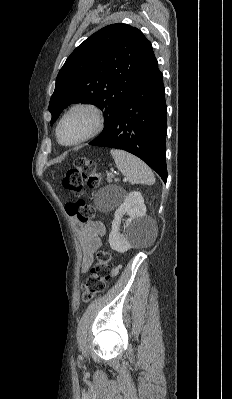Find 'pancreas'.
Returning a JSON list of instances; mask_svg holds the SVG:
<instances>
[{
	"mask_svg": "<svg viewBox=\"0 0 232 399\" xmlns=\"http://www.w3.org/2000/svg\"><path fill=\"white\" fill-rule=\"evenodd\" d=\"M112 174H107V182H112Z\"/></svg>",
	"mask_w": 232,
	"mask_h": 399,
	"instance_id": "cf45deb5",
	"label": "pancreas"
}]
</instances>
